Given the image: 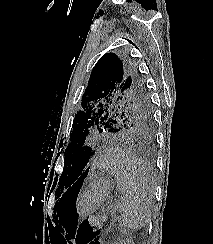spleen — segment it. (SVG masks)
Instances as JSON below:
<instances>
[{
	"mask_svg": "<svg viewBox=\"0 0 213 244\" xmlns=\"http://www.w3.org/2000/svg\"><path fill=\"white\" fill-rule=\"evenodd\" d=\"M102 167L116 179L122 226L129 231L141 229L150 220L154 192L145 163L131 152L114 151L102 161Z\"/></svg>",
	"mask_w": 213,
	"mask_h": 244,
	"instance_id": "obj_1",
	"label": "spleen"
}]
</instances>
